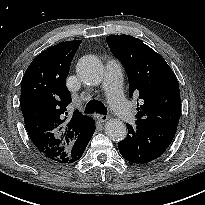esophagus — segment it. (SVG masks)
<instances>
[{"label":"esophagus","instance_id":"1","mask_svg":"<svg viewBox=\"0 0 205 205\" xmlns=\"http://www.w3.org/2000/svg\"><path fill=\"white\" fill-rule=\"evenodd\" d=\"M97 118L100 122H106L109 119V116L108 115L98 114Z\"/></svg>","mask_w":205,"mask_h":205}]
</instances>
